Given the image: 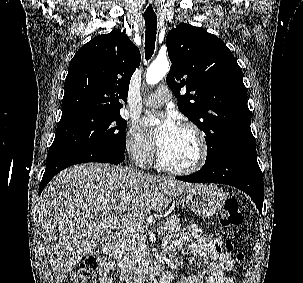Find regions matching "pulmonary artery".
<instances>
[{"instance_id": "e3ab8cb5", "label": "pulmonary artery", "mask_w": 303, "mask_h": 283, "mask_svg": "<svg viewBox=\"0 0 303 283\" xmlns=\"http://www.w3.org/2000/svg\"><path fill=\"white\" fill-rule=\"evenodd\" d=\"M171 97L172 93L170 88L167 86H160L156 89L154 93H152L145 99L144 104L146 106H160L170 100Z\"/></svg>"}]
</instances>
